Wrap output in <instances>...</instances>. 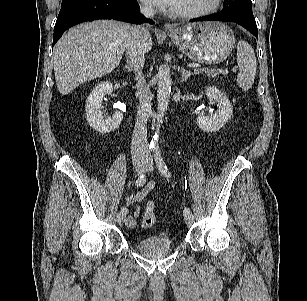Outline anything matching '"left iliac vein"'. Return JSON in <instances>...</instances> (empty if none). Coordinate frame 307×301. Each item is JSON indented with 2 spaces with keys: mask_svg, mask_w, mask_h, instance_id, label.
<instances>
[{
  "mask_svg": "<svg viewBox=\"0 0 307 301\" xmlns=\"http://www.w3.org/2000/svg\"><path fill=\"white\" fill-rule=\"evenodd\" d=\"M146 171H152L153 170V161H152V158L149 157V162L148 164L146 165L145 167ZM184 218H185V222L188 226L192 225L193 222H194V216L193 214L190 212L186 215H184Z\"/></svg>",
  "mask_w": 307,
  "mask_h": 301,
  "instance_id": "obj_1",
  "label": "left iliac vein"
}]
</instances>
